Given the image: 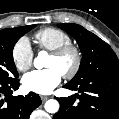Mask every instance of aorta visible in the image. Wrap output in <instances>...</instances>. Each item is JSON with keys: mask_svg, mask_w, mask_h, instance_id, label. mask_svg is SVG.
<instances>
[{"mask_svg": "<svg viewBox=\"0 0 119 119\" xmlns=\"http://www.w3.org/2000/svg\"><path fill=\"white\" fill-rule=\"evenodd\" d=\"M47 57V53L45 51L39 52L38 56L34 59V66L37 69H41L44 67V61ZM45 110L48 113H56L59 110V103L55 99H50L45 103Z\"/></svg>", "mask_w": 119, "mask_h": 119, "instance_id": "1", "label": "aorta"}]
</instances>
